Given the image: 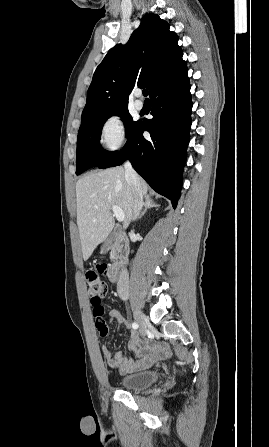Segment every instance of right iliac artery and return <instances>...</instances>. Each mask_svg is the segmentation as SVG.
Instances as JSON below:
<instances>
[{
  "instance_id": "obj_1",
  "label": "right iliac artery",
  "mask_w": 269,
  "mask_h": 447,
  "mask_svg": "<svg viewBox=\"0 0 269 447\" xmlns=\"http://www.w3.org/2000/svg\"><path fill=\"white\" fill-rule=\"evenodd\" d=\"M132 327H133L134 329H137V328H138V324H137L136 322H134V323L132 324Z\"/></svg>"
}]
</instances>
